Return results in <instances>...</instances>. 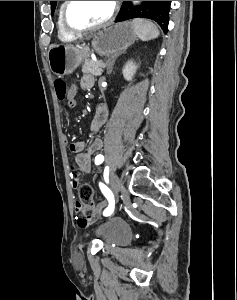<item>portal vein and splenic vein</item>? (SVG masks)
I'll use <instances>...</instances> for the list:
<instances>
[{
    "instance_id": "obj_1",
    "label": "portal vein and splenic vein",
    "mask_w": 237,
    "mask_h": 300,
    "mask_svg": "<svg viewBox=\"0 0 237 300\" xmlns=\"http://www.w3.org/2000/svg\"><path fill=\"white\" fill-rule=\"evenodd\" d=\"M100 64H101V63H100ZM104 64H106V63L103 62L102 65H100V68H102V69L105 68V65H104ZM106 67H107V66H106Z\"/></svg>"
}]
</instances>
